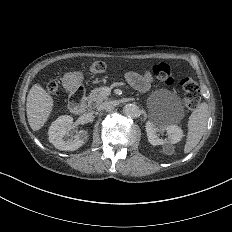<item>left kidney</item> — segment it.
I'll use <instances>...</instances> for the list:
<instances>
[{
  "label": "left kidney",
  "mask_w": 232,
  "mask_h": 232,
  "mask_svg": "<svg viewBox=\"0 0 232 232\" xmlns=\"http://www.w3.org/2000/svg\"><path fill=\"white\" fill-rule=\"evenodd\" d=\"M164 131H166L168 135V138L165 140L158 136V133H163ZM146 132L148 141L154 146L175 144L179 142L183 136V131L179 126L156 121H148L146 123Z\"/></svg>",
  "instance_id": "1"
}]
</instances>
